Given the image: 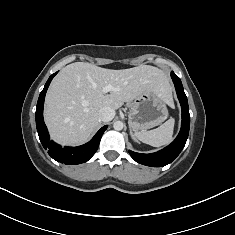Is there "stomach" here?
I'll return each mask as SVG.
<instances>
[{
  "mask_svg": "<svg viewBox=\"0 0 235 235\" xmlns=\"http://www.w3.org/2000/svg\"><path fill=\"white\" fill-rule=\"evenodd\" d=\"M166 104L155 91L142 93L130 103L129 127L137 134L161 124L168 117Z\"/></svg>",
  "mask_w": 235,
  "mask_h": 235,
  "instance_id": "0dacf381",
  "label": "stomach"
}]
</instances>
